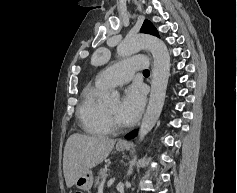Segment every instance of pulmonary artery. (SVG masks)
I'll return each instance as SVG.
<instances>
[{
    "mask_svg": "<svg viewBox=\"0 0 237 193\" xmlns=\"http://www.w3.org/2000/svg\"><path fill=\"white\" fill-rule=\"evenodd\" d=\"M148 59L144 56H136L118 62L111 68L100 73L96 80L106 87H114L130 81L137 70L145 69Z\"/></svg>",
    "mask_w": 237,
    "mask_h": 193,
    "instance_id": "pulmonary-artery-1",
    "label": "pulmonary artery"
}]
</instances>
